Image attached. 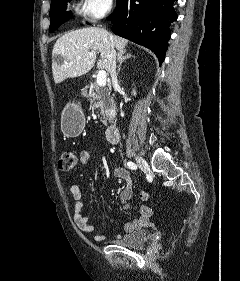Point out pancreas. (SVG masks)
Here are the masks:
<instances>
[{"label": "pancreas", "instance_id": "cf45deb5", "mask_svg": "<svg viewBox=\"0 0 240 281\" xmlns=\"http://www.w3.org/2000/svg\"><path fill=\"white\" fill-rule=\"evenodd\" d=\"M87 98L90 101L91 108L100 110L101 121L104 125H107V121L115 114L116 109L110 91L108 89L101 90L98 85L94 84L90 87Z\"/></svg>", "mask_w": 240, "mask_h": 281}]
</instances>
